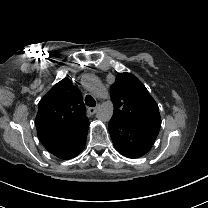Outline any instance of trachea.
<instances>
[{"label": "trachea", "instance_id": "1", "mask_svg": "<svg viewBox=\"0 0 208 208\" xmlns=\"http://www.w3.org/2000/svg\"><path fill=\"white\" fill-rule=\"evenodd\" d=\"M85 104L87 106L95 107L96 106V101L91 95H87L85 97Z\"/></svg>", "mask_w": 208, "mask_h": 208}]
</instances>
